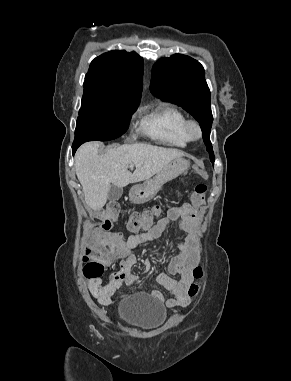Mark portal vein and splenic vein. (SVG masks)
<instances>
[{
    "mask_svg": "<svg viewBox=\"0 0 291 381\" xmlns=\"http://www.w3.org/2000/svg\"><path fill=\"white\" fill-rule=\"evenodd\" d=\"M133 167H134V165H133V164H131V165H130V168H133Z\"/></svg>",
    "mask_w": 291,
    "mask_h": 381,
    "instance_id": "portal-vein-and-splenic-vein-1",
    "label": "portal vein and splenic vein"
}]
</instances>
